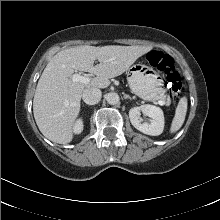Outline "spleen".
Segmentation results:
<instances>
[{"instance_id": "obj_1", "label": "spleen", "mask_w": 220, "mask_h": 220, "mask_svg": "<svg viewBox=\"0 0 220 220\" xmlns=\"http://www.w3.org/2000/svg\"><path fill=\"white\" fill-rule=\"evenodd\" d=\"M188 100L184 96L180 98L175 110V115L172 119L170 133H176L183 125L187 113Z\"/></svg>"}]
</instances>
